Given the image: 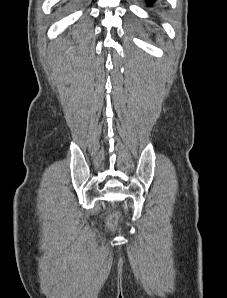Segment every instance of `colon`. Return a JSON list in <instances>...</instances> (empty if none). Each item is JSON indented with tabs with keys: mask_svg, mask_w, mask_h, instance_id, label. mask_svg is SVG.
Segmentation results:
<instances>
[{
	"mask_svg": "<svg viewBox=\"0 0 227 298\" xmlns=\"http://www.w3.org/2000/svg\"><path fill=\"white\" fill-rule=\"evenodd\" d=\"M118 222H119V216L116 213H113L109 215L107 218V227L109 229H113L117 226Z\"/></svg>",
	"mask_w": 227,
	"mask_h": 298,
	"instance_id": "colon-1",
	"label": "colon"
}]
</instances>
